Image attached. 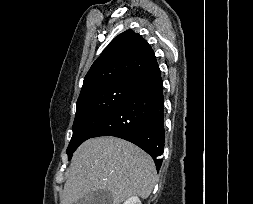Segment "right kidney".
<instances>
[{"label": "right kidney", "mask_w": 253, "mask_h": 204, "mask_svg": "<svg viewBox=\"0 0 253 204\" xmlns=\"http://www.w3.org/2000/svg\"><path fill=\"white\" fill-rule=\"evenodd\" d=\"M123 204H141V201L137 196L128 198Z\"/></svg>", "instance_id": "ca27d5eb"}]
</instances>
